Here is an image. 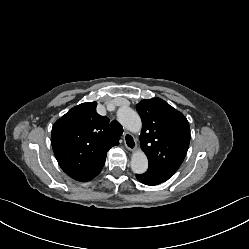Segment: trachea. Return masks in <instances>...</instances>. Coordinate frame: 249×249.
<instances>
[{
    "label": "trachea",
    "instance_id": "trachea-1",
    "mask_svg": "<svg viewBox=\"0 0 249 249\" xmlns=\"http://www.w3.org/2000/svg\"><path fill=\"white\" fill-rule=\"evenodd\" d=\"M110 129L112 132H114L115 134L121 136L123 134V127L121 126V124L117 121V120H113L110 123Z\"/></svg>",
    "mask_w": 249,
    "mask_h": 249
}]
</instances>
